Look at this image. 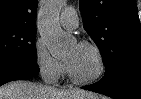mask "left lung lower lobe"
<instances>
[{
    "instance_id": "1",
    "label": "left lung lower lobe",
    "mask_w": 141,
    "mask_h": 99,
    "mask_svg": "<svg viewBox=\"0 0 141 99\" xmlns=\"http://www.w3.org/2000/svg\"><path fill=\"white\" fill-rule=\"evenodd\" d=\"M82 88L114 99H141V62H123L99 82Z\"/></svg>"
}]
</instances>
